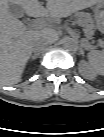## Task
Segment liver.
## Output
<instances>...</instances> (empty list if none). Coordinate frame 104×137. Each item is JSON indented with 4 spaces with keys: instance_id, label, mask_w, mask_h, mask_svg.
Wrapping results in <instances>:
<instances>
[{
    "instance_id": "liver-1",
    "label": "liver",
    "mask_w": 104,
    "mask_h": 137,
    "mask_svg": "<svg viewBox=\"0 0 104 137\" xmlns=\"http://www.w3.org/2000/svg\"><path fill=\"white\" fill-rule=\"evenodd\" d=\"M102 2L103 0H47L44 8L38 0H1L0 83H18L34 51V43L41 39L54 42L58 38V34L51 29L27 31L25 25L9 12V3L20 5L30 17L62 18Z\"/></svg>"
}]
</instances>
